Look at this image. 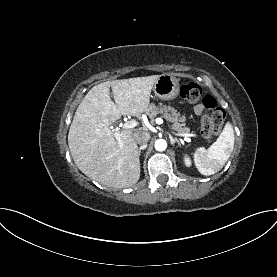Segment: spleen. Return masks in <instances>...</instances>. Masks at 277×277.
Here are the masks:
<instances>
[{"label": "spleen", "mask_w": 277, "mask_h": 277, "mask_svg": "<svg viewBox=\"0 0 277 277\" xmlns=\"http://www.w3.org/2000/svg\"><path fill=\"white\" fill-rule=\"evenodd\" d=\"M234 130L227 122L217 140L208 148L199 147L194 153V162L202 175L219 172L229 159L234 148Z\"/></svg>", "instance_id": "3e777b00"}]
</instances>
